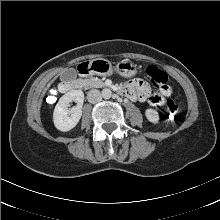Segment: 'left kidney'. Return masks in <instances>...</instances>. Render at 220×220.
<instances>
[{
  "label": "left kidney",
  "instance_id": "left-kidney-1",
  "mask_svg": "<svg viewBox=\"0 0 220 220\" xmlns=\"http://www.w3.org/2000/svg\"><path fill=\"white\" fill-rule=\"evenodd\" d=\"M145 116L150 122H152L154 124L158 123V121H159V114L154 109H151V108L147 109L145 111Z\"/></svg>",
  "mask_w": 220,
  "mask_h": 220
}]
</instances>
